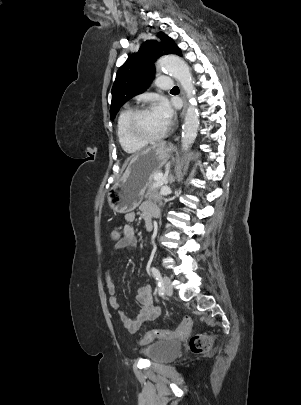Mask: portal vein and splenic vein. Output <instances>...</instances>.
Returning a JSON list of instances; mask_svg holds the SVG:
<instances>
[{
  "instance_id": "18ae733b",
  "label": "portal vein and splenic vein",
  "mask_w": 301,
  "mask_h": 405,
  "mask_svg": "<svg viewBox=\"0 0 301 405\" xmlns=\"http://www.w3.org/2000/svg\"><path fill=\"white\" fill-rule=\"evenodd\" d=\"M154 180L160 183H163V173H158L154 176Z\"/></svg>"
}]
</instances>
